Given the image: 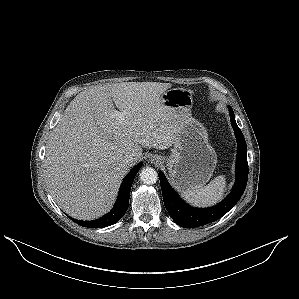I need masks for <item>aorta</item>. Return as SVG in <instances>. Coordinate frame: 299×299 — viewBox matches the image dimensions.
<instances>
[{"instance_id": "aorta-1", "label": "aorta", "mask_w": 299, "mask_h": 299, "mask_svg": "<svg viewBox=\"0 0 299 299\" xmlns=\"http://www.w3.org/2000/svg\"><path fill=\"white\" fill-rule=\"evenodd\" d=\"M140 180L147 185H152L158 180V174L153 168L146 167L140 172Z\"/></svg>"}]
</instances>
